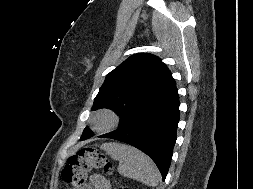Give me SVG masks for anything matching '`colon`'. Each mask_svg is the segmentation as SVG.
I'll use <instances>...</instances> for the list:
<instances>
[{
    "label": "colon",
    "mask_w": 253,
    "mask_h": 189,
    "mask_svg": "<svg viewBox=\"0 0 253 189\" xmlns=\"http://www.w3.org/2000/svg\"><path fill=\"white\" fill-rule=\"evenodd\" d=\"M100 169L105 173L113 172V165L104 153L94 147H85L72 154L62 170V177L71 189H82L86 183L88 172ZM120 189H128L122 186Z\"/></svg>",
    "instance_id": "5ec220e1"
}]
</instances>
